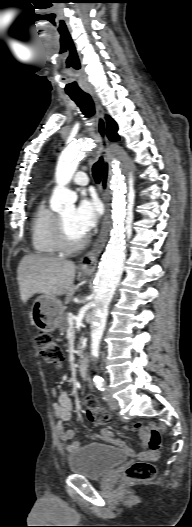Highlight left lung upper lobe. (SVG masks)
<instances>
[{
  "label": "left lung upper lobe",
  "mask_w": 192,
  "mask_h": 527,
  "mask_svg": "<svg viewBox=\"0 0 192 527\" xmlns=\"http://www.w3.org/2000/svg\"><path fill=\"white\" fill-rule=\"evenodd\" d=\"M107 119V136L111 141H118L119 136L117 134V125L114 122V120L110 117H106Z\"/></svg>",
  "instance_id": "5c2ea615"
}]
</instances>
